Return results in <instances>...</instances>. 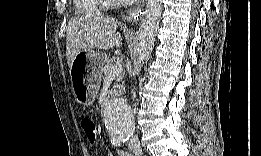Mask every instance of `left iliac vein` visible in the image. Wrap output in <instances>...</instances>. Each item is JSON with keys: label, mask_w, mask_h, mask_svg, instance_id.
<instances>
[{"label": "left iliac vein", "mask_w": 261, "mask_h": 156, "mask_svg": "<svg viewBox=\"0 0 261 156\" xmlns=\"http://www.w3.org/2000/svg\"><path fill=\"white\" fill-rule=\"evenodd\" d=\"M129 148L135 155H141L142 154V150H141L140 145L138 143H133V142L130 143Z\"/></svg>", "instance_id": "left-iliac-vein-1"}]
</instances>
